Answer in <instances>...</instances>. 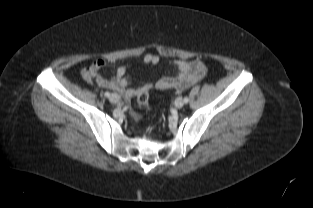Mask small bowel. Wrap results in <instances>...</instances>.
Masks as SVG:
<instances>
[{"label": "small bowel", "instance_id": "obj_1", "mask_svg": "<svg viewBox=\"0 0 313 208\" xmlns=\"http://www.w3.org/2000/svg\"><path fill=\"white\" fill-rule=\"evenodd\" d=\"M159 61V56L150 53L145 54L141 59L142 63L151 65H156ZM173 64L178 70V75L175 78L164 77L154 84H142L136 87L131 86L130 79L126 75V65L118 66L111 78L103 76L100 71L107 65V62L103 59L94 60L88 67L82 70L81 76L87 83L96 81L100 87L114 90L123 95L126 99H131L139 92L148 90L153 86L163 90L170 88H174L178 91L184 90L202 80L207 73L206 66L199 60H176Z\"/></svg>", "mask_w": 313, "mask_h": 208}]
</instances>
